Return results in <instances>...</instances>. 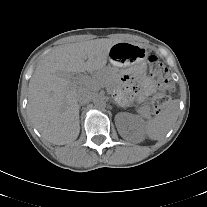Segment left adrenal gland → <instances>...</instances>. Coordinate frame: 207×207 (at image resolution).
<instances>
[{"instance_id":"obj_1","label":"left adrenal gland","mask_w":207,"mask_h":207,"mask_svg":"<svg viewBox=\"0 0 207 207\" xmlns=\"http://www.w3.org/2000/svg\"><path fill=\"white\" fill-rule=\"evenodd\" d=\"M117 107H119V105L116 103V102H114V101H112Z\"/></svg>"}]
</instances>
